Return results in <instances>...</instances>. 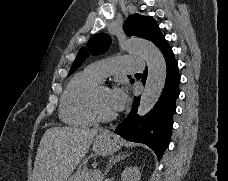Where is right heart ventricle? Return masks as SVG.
Here are the masks:
<instances>
[{"instance_id": "right-heart-ventricle-1", "label": "right heart ventricle", "mask_w": 228, "mask_h": 181, "mask_svg": "<svg viewBox=\"0 0 228 181\" xmlns=\"http://www.w3.org/2000/svg\"><path fill=\"white\" fill-rule=\"evenodd\" d=\"M101 79L78 72L71 79L62 100L61 117L75 125H91L96 118L91 109L94 90Z\"/></svg>"}]
</instances>
